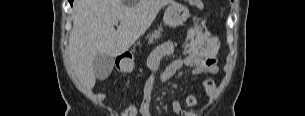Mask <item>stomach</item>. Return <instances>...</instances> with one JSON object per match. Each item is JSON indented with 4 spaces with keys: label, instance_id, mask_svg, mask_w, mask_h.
Returning a JSON list of instances; mask_svg holds the SVG:
<instances>
[{
    "label": "stomach",
    "instance_id": "obj_1",
    "mask_svg": "<svg viewBox=\"0 0 305 116\" xmlns=\"http://www.w3.org/2000/svg\"><path fill=\"white\" fill-rule=\"evenodd\" d=\"M189 17V10L182 4L172 3L164 12L163 22L169 27H177L181 25ZM134 57L125 58L121 61L119 69L122 72H131L134 69Z\"/></svg>",
    "mask_w": 305,
    "mask_h": 116
}]
</instances>
